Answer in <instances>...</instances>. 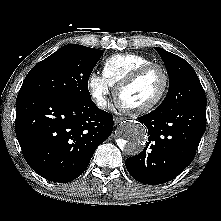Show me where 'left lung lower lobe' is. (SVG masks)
Here are the masks:
<instances>
[{
  "mask_svg": "<svg viewBox=\"0 0 221 221\" xmlns=\"http://www.w3.org/2000/svg\"><path fill=\"white\" fill-rule=\"evenodd\" d=\"M138 120L148 128V143L140 154L126 159V168L141 183L162 184L174 179L194 159L205 132L206 103L158 107Z\"/></svg>",
  "mask_w": 221,
  "mask_h": 221,
  "instance_id": "0a47b994",
  "label": "left lung lower lobe"
}]
</instances>
